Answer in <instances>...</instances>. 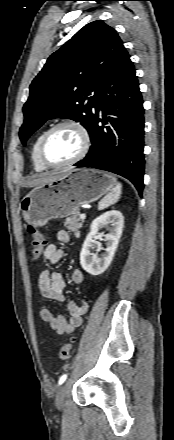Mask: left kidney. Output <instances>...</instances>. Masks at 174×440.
Returning <instances> with one entry per match:
<instances>
[{
    "instance_id": "5707ae66",
    "label": "left kidney",
    "mask_w": 174,
    "mask_h": 440,
    "mask_svg": "<svg viewBox=\"0 0 174 440\" xmlns=\"http://www.w3.org/2000/svg\"><path fill=\"white\" fill-rule=\"evenodd\" d=\"M123 225L124 217L117 210L107 211L92 221L90 233L87 235L80 253V264L86 272L96 276L102 274L109 267L118 247ZM102 228H107L109 233L104 235V241H106L105 253L99 257L97 254H92L91 250L95 247L102 249L94 239Z\"/></svg>"
}]
</instances>
